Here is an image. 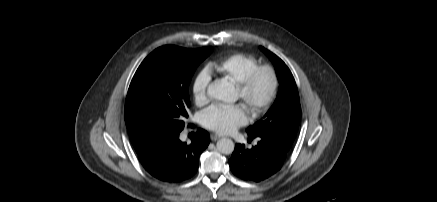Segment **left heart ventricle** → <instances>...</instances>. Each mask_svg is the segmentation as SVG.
I'll list each match as a JSON object with an SVG mask.
<instances>
[{"mask_svg":"<svg viewBox=\"0 0 437 202\" xmlns=\"http://www.w3.org/2000/svg\"><path fill=\"white\" fill-rule=\"evenodd\" d=\"M270 87V79L266 73L260 74L251 89L250 96L254 100H260L268 93ZM236 95L241 98V93L239 89L236 90Z\"/></svg>","mask_w":437,"mask_h":202,"instance_id":"left-heart-ventricle-1","label":"left heart ventricle"}]
</instances>
